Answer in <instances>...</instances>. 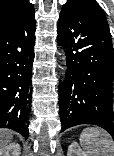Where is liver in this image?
<instances>
[{"instance_id": "6515ba94", "label": "liver", "mask_w": 114, "mask_h": 156, "mask_svg": "<svg viewBox=\"0 0 114 156\" xmlns=\"http://www.w3.org/2000/svg\"><path fill=\"white\" fill-rule=\"evenodd\" d=\"M13 138V131L9 129H0V150L11 142Z\"/></svg>"}]
</instances>
